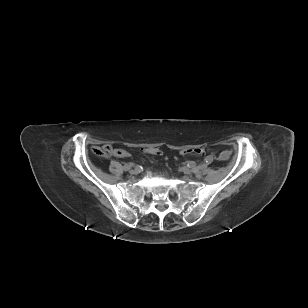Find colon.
Listing matches in <instances>:
<instances>
[{
	"label": "colon",
	"instance_id": "1",
	"mask_svg": "<svg viewBox=\"0 0 308 308\" xmlns=\"http://www.w3.org/2000/svg\"><path fill=\"white\" fill-rule=\"evenodd\" d=\"M96 154L100 156H108V155H114L116 157L124 158L128 156V152L121 148L113 149L110 145H108L105 148H97L94 150ZM145 152L153 155L159 154V150L156 148H145ZM183 154H192L196 156H201L205 153L204 148H193V149H185L182 151Z\"/></svg>",
	"mask_w": 308,
	"mask_h": 308
}]
</instances>
